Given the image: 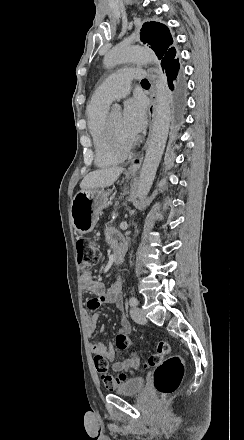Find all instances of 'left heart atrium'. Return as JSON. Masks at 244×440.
Instances as JSON below:
<instances>
[{
	"mask_svg": "<svg viewBox=\"0 0 244 440\" xmlns=\"http://www.w3.org/2000/svg\"><path fill=\"white\" fill-rule=\"evenodd\" d=\"M124 128L133 135L144 129L147 122L146 105L142 98L134 97L126 101L124 107Z\"/></svg>",
	"mask_w": 244,
	"mask_h": 440,
	"instance_id": "39dd6f15",
	"label": "left heart atrium"
}]
</instances>
